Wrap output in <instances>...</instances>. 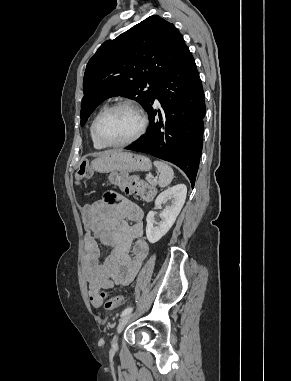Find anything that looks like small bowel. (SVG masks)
<instances>
[{"mask_svg": "<svg viewBox=\"0 0 291 381\" xmlns=\"http://www.w3.org/2000/svg\"><path fill=\"white\" fill-rule=\"evenodd\" d=\"M85 226L83 273L93 306L102 304L98 291L129 284L137 275L149 246L143 239V211L129 200L100 201L81 209ZM98 241L109 247L101 260Z\"/></svg>", "mask_w": 291, "mask_h": 381, "instance_id": "1", "label": "small bowel"}]
</instances>
